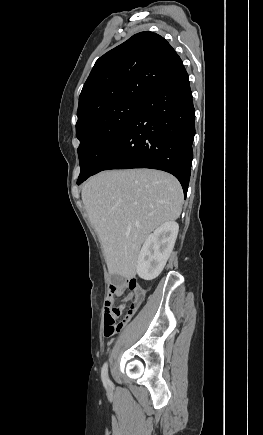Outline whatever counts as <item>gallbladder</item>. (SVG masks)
Returning a JSON list of instances; mask_svg holds the SVG:
<instances>
[{
    "label": "gallbladder",
    "instance_id": "gallbladder-1",
    "mask_svg": "<svg viewBox=\"0 0 263 435\" xmlns=\"http://www.w3.org/2000/svg\"><path fill=\"white\" fill-rule=\"evenodd\" d=\"M123 281H124V278H122L119 275H112L111 276V283L114 285H120L123 283Z\"/></svg>",
    "mask_w": 263,
    "mask_h": 435
}]
</instances>
